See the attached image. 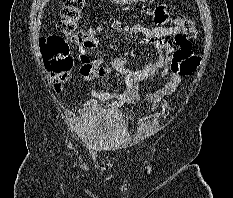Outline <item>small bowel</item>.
<instances>
[{
	"label": "small bowel",
	"instance_id": "obj_1",
	"mask_svg": "<svg viewBox=\"0 0 233 198\" xmlns=\"http://www.w3.org/2000/svg\"><path fill=\"white\" fill-rule=\"evenodd\" d=\"M154 27H147L143 24L125 25L121 21H114L111 24L113 31L124 33L130 36H141L143 42L153 46L155 54L144 66L132 69L124 56H116L111 61H106L99 55H91L88 49L94 47L80 48L82 66L80 73L85 81L104 78L112 72H117L122 77V90L119 92H100L91 89L92 100L86 102L87 108H96L97 101H110L108 110L113 111L125 104H135L143 98L138 93L136 84L154 76H167V83L153 93L145 96L149 102H159L165 96L170 95L181 83L182 75L175 70L174 58L179 52H190L191 46L185 33L177 25L164 27L169 21V14L165 6H158L153 13ZM172 37L179 46L175 49L168 41Z\"/></svg>",
	"mask_w": 233,
	"mask_h": 198
}]
</instances>
